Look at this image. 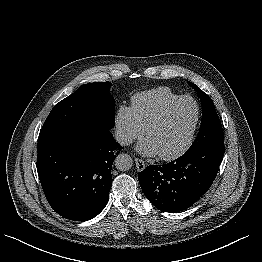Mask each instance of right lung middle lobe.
Wrapping results in <instances>:
<instances>
[{
    "label": "right lung middle lobe",
    "instance_id": "obj_1",
    "mask_svg": "<svg viewBox=\"0 0 262 262\" xmlns=\"http://www.w3.org/2000/svg\"><path fill=\"white\" fill-rule=\"evenodd\" d=\"M110 86V82L80 86L53 107L42 129L87 126L110 130L115 124L114 98L109 92Z\"/></svg>",
    "mask_w": 262,
    "mask_h": 262
}]
</instances>
